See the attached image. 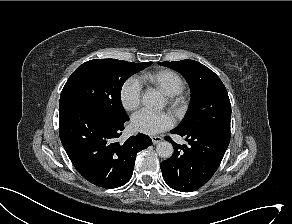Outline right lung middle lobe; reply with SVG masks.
Instances as JSON below:
<instances>
[{
	"mask_svg": "<svg viewBox=\"0 0 292 224\" xmlns=\"http://www.w3.org/2000/svg\"><path fill=\"white\" fill-rule=\"evenodd\" d=\"M152 62L133 63L117 59L90 60L69 77L60 95V105L83 104L109 119L127 116L121 103V89L133 74Z\"/></svg>",
	"mask_w": 292,
	"mask_h": 224,
	"instance_id": "right-lung-middle-lobe-1",
	"label": "right lung middle lobe"
}]
</instances>
